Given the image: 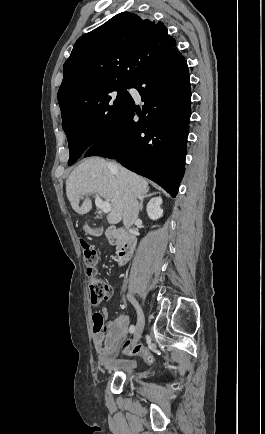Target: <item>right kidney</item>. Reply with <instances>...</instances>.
I'll use <instances>...</instances> for the list:
<instances>
[{
  "label": "right kidney",
  "mask_w": 265,
  "mask_h": 434,
  "mask_svg": "<svg viewBox=\"0 0 265 434\" xmlns=\"http://www.w3.org/2000/svg\"><path fill=\"white\" fill-rule=\"evenodd\" d=\"M161 204L162 198H152V200L148 202L146 212L150 220H158V218L163 216V210L160 208Z\"/></svg>",
  "instance_id": "right-kidney-1"
}]
</instances>
